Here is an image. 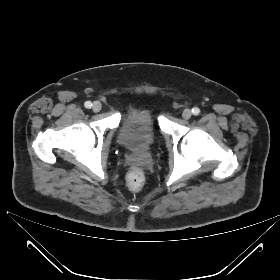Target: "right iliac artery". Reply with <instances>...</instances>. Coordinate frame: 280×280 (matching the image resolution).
<instances>
[{
	"instance_id": "82829eb1",
	"label": "right iliac artery",
	"mask_w": 280,
	"mask_h": 280,
	"mask_svg": "<svg viewBox=\"0 0 280 280\" xmlns=\"http://www.w3.org/2000/svg\"><path fill=\"white\" fill-rule=\"evenodd\" d=\"M84 105H85V107L88 108V109L92 107V103H91L90 101L85 102Z\"/></svg>"
}]
</instances>
